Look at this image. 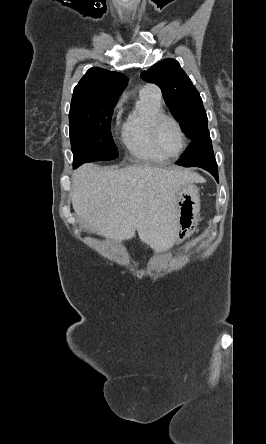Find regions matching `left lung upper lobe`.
Here are the masks:
<instances>
[{"label":"left lung upper lobe","instance_id":"obj_1","mask_svg":"<svg viewBox=\"0 0 266 444\" xmlns=\"http://www.w3.org/2000/svg\"><path fill=\"white\" fill-rule=\"evenodd\" d=\"M141 78L160 87L164 100L191 140L208 133V120L199 92L174 59H165L141 73Z\"/></svg>","mask_w":266,"mask_h":444}]
</instances>
